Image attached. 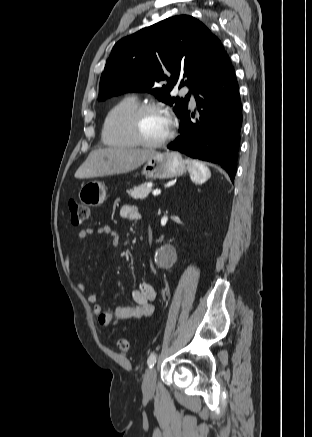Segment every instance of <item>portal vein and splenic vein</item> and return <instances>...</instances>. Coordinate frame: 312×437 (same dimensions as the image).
Masks as SVG:
<instances>
[{"label": "portal vein and splenic vein", "instance_id": "18ae733b", "mask_svg": "<svg viewBox=\"0 0 312 437\" xmlns=\"http://www.w3.org/2000/svg\"><path fill=\"white\" fill-rule=\"evenodd\" d=\"M160 193H161V190H159V189H156V190H154V191L152 192V194H153L154 196H158Z\"/></svg>", "mask_w": 312, "mask_h": 437}]
</instances>
